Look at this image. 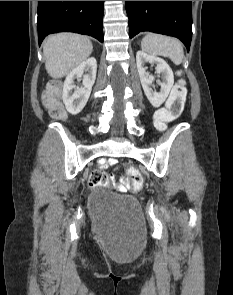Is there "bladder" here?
<instances>
[{"label": "bladder", "mask_w": 233, "mask_h": 295, "mask_svg": "<svg viewBox=\"0 0 233 295\" xmlns=\"http://www.w3.org/2000/svg\"><path fill=\"white\" fill-rule=\"evenodd\" d=\"M88 204L93 216L99 222L132 219L139 214V204L135 198L112 193L101 187L93 189Z\"/></svg>", "instance_id": "1"}]
</instances>
